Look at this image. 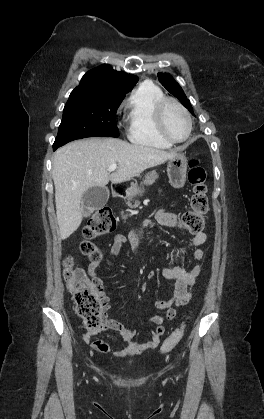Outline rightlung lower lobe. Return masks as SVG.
Here are the masks:
<instances>
[{
    "label": "right lung lower lobe",
    "mask_w": 264,
    "mask_h": 419,
    "mask_svg": "<svg viewBox=\"0 0 264 419\" xmlns=\"http://www.w3.org/2000/svg\"><path fill=\"white\" fill-rule=\"evenodd\" d=\"M58 147H53V150L55 151Z\"/></svg>",
    "instance_id": "obj_1"
}]
</instances>
